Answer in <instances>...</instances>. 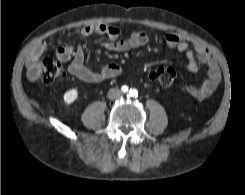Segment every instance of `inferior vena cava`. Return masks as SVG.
<instances>
[{
    "label": "inferior vena cava",
    "instance_id": "602c4592",
    "mask_svg": "<svg viewBox=\"0 0 245 195\" xmlns=\"http://www.w3.org/2000/svg\"><path fill=\"white\" fill-rule=\"evenodd\" d=\"M123 95L122 91L119 89H110L108 92L109 99H116Z\"/></svg>",
    "mask_w": 245,
    "mask_h": 195
}]
</instances>
